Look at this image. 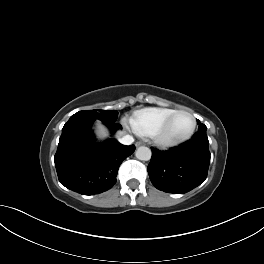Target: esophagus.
<instances>
[{"instance_id": "1", "label": "esophagus", "mask_w": 264, "mask_h": 264, "mask_svg": "<svg viewBox=\"0 0 264 264\" xmlns=\"http://www.w3.org/2000/svg\"><path fill=\"white\" fill-rule=\"evenodd\" d=\"M140 145H142L141 142H137V143H136V146H140Z\"/></svg>"}]
</instances>
